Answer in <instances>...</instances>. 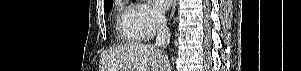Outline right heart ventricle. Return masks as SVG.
Listing matches in <instances>:
<instances>
[{"mask_svg": "<svg viewBox=\"0 0 301 71\" xmlns=\"http://www.w3.org/2000/svg\"><path fill=\"white\" fill-rule=\"evenodd\" d=\"M115 30L117 37L124 42L136 43L143 39L133 20L131 8L124 5L118 8Z\"/></svg>", "mask_w": 301, "mask_h": 71, "instance_id": "right-heart-ventricle-1", "label": "right heart ventricle"}]
</instances>
